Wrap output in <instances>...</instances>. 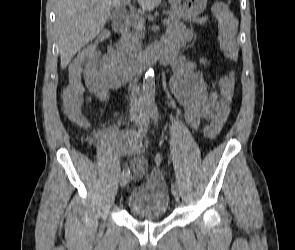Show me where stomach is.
I'll return each instance as SVG.
<instances>
[{"mask_svg": "<svg viewBox=\"0 0 295 250\" xmlns=\"http://www.w3.org/2000/svg\"><path fill=\"white\" fill-rule=\"evenodd\" d=\"M170 4L181 17H196L206 8L207 0H170Z\"/></svg>", "mask_w": 295, "mask_h": 250, "instance_id": "0dacf381", "label": "stomach"}]
</instances>
